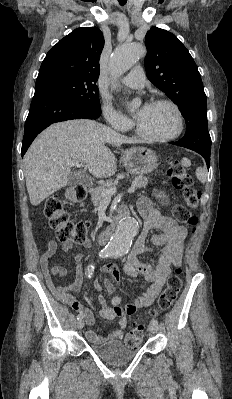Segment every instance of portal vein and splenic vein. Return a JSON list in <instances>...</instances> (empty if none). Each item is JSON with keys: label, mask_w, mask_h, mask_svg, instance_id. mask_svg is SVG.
I'll use <instances>...</instances> for the list:
<instances>
[{"label": "portal vein and splenic vein", "mask_w": 232, "mask_h": 399, "mask_svg": "<svg viewBox=\"0 0 232 399\" xmlns=\"http://www.w3.org/2000/svg\"><path fill=\"white\" fill-rule=\"evenodd\" d=\"M69 166H82L80 162H77V160H69L68 162ZM136 188L134 186H131L128 190V194H133L135 192ZM104 194H106L105 198H111V196H115L116 190H104Z\"/></svg>", "instance_id": "portal-vein-and-splenic-vein-1"}]
</instances>
